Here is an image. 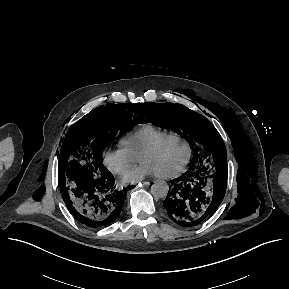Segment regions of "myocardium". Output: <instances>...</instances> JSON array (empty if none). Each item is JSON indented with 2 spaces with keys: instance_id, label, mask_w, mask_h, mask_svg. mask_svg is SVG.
<instances>
[{
  "instance_id": "1",
  "label": "myocardium",
  "mask_w": 289,
  "mask_h": 289,
  "mask_svg": "<svg viewBox=\"0 0 289 289\" xmlns=\"http://www.w3.org/2000/svg\"><path fill=\"white\" fill-rule=\"evenodd\" d=\"M172 139H177V140H180L184 143V145L186 146V149H187L186 159H185L184 163L182 164V166L179 169H177L176 171L171 172V173H166V174H156V176L159 178H163V179L176 178L186 171V169L190 163L191 157H192V147H191L190 142L184 136H182L178 133H170V134L160 138L159 140H157L155 143H153L152 145H150L146 149H144L141 152V154L139 155V160H140L141 157H143L144 155H147V154H150V153L157 151L166 141L172 140Z\"/></svg>"
}]
</instances>
